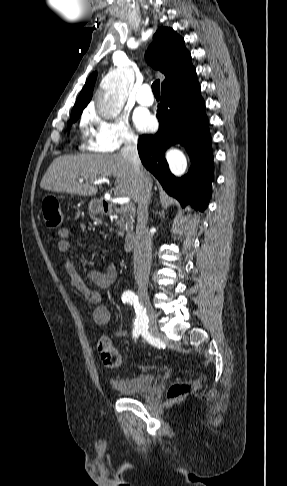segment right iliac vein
<instances>
[{
    "label": "right iliac vein",
    "mask_w": 287,
    "mask_h": 486,
    "mask_svg": "<svg viewBox=\"0 0 287 486\" xmlns=\"http://www.w3.org/2000/svg\"><path fill=\"white\" fill-rule=\"evenodd\" d=\"M139 298L142 301V303L145 306V309L147 311V318H148V326H149V332L153 336L158 335V327H157V321H156V314L154 309L152 308L149 297L145 291H140L139 292Z\"/></svg>",
    "instance_id": "right-iliac-vein-1"
}]
</instances>
